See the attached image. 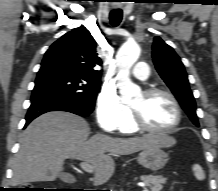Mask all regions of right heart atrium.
<instances>
[{"mask_svg":"<svg viewBox=\"0 0 218 191\" xmlns=\"http://www.w3.org/2000/svg\"><path fill=\"white\" fill-rule=\"evenodd\" d=\"M95 115L102 130L114 132L129 120L131 112L114 90L103 89L97 98Z\"/></svg>","mask_w":218,"mask_h":191,"instance_id":"obj_1","label":"right heart atrium"}]
</instances>
